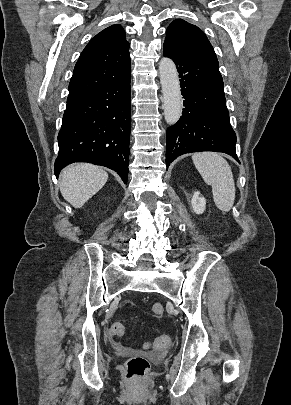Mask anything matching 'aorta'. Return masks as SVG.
Listing matches in <instances>:
<instances>
[{
    "label": "aorta",
    "instance_id": "1",
    "mask_svg": "<svg viewBox=\"0 0 291 405\" xmlns=\"http://www.w3.org/2000/svg\"><path fill=\"white\" fill-rule=\"evenodd\" d=\"M160 82L164 99V117L169 125L175 124L181 114L183 100L180 91L179 77L174 62L163 57L159 63Z\"/></svg>",
    "mask_w": 291,
    "mask_h": 405
}]
</instances>
